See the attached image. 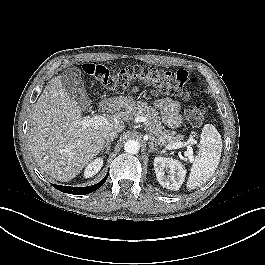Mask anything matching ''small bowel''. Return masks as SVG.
I'll return each instance as SVG.
<instances>
[{
	"label": "small bowel",
	"instance_id": "1",
	"mask_svg": "<svg viewBox=\"0 0 265 265\" xmlns=\"http://www.w3.org/2000/svg\"><path fill=\"white\" fill-rule=\"evenodd\" d=\"M133 92L137 91L136 88L132 89ZM155 105L161 110L163 122L169 128H178L182 122L180 114V104L173 99L157 98Z\"/></svg>",
	"mask_w": 265,
	"mask_h": 265
}]
</instances>
